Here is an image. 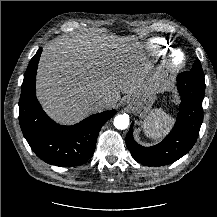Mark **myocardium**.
<instances>
[{"mask_svg": "<svg viewBox=\"0 0 217 217\" xmlns=\"http://www.w3.org/2000/svg\"><path fill=\"white\" fill-rule=\"evenodd\" d=\"M187 64V57L180 49L169 52L165 62L166 69L172 73L180 71Z\"/></svg>", "mask_w": 217, "mask_h": 217, "instance_id": "obj_1", "label": "myocardium"}]
</instances>
